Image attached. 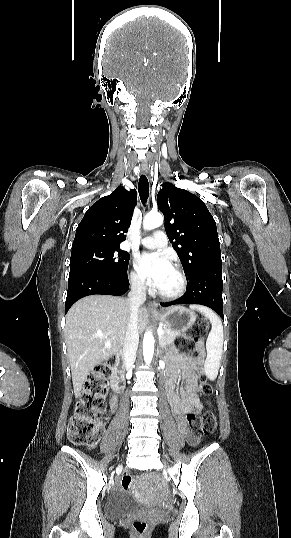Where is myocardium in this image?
Wrapping results in <instances>:
<instances>
[{"mask_svg":"<svg viewBox=\"0 0 291 538\" xmlns=\"http://www.w3.org/2000/svg\"><path fill=\"white\" fill-rule=\"evenodd\" d=\"M172 269L177 273L180 279L179 287L175 291H172V292H165L160 289H157V294L160 297L164 299H169V300L180 298L181 296L184 295V293L186 292L188 288V279L184 271L177 265L172 266Z\"/></svg>","mask_w":291,"mask_h":538,"instance_id":"f54148a6","label":"myocardium"}]
</instances>
